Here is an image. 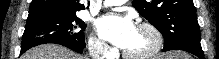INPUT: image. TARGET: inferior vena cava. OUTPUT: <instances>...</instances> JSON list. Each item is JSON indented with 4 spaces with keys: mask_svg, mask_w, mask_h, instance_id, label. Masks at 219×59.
Segmentation results:
<instances>
[{
    "mask_svg": "<svg viewBox=\"0 0 219 59\" xmlns=\"http://www.w3.org/2000/svg\"><path fill=\"white\" fill-rule=\"evenodd\" d=\"M104 45L102 43H97L91 47L90 56L92 59H102L101 55L104 52Z\"/></svg>",
    "mask_w": 219,
    "mask_h": 59,
    "instance_id": "obj_1",
    "label": "inferior vena cava"
}]
</instances>
